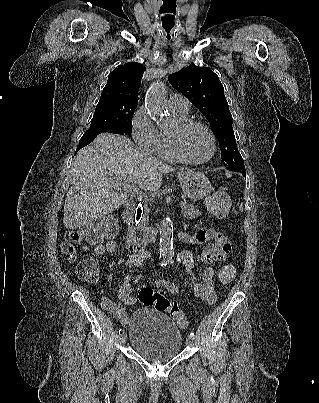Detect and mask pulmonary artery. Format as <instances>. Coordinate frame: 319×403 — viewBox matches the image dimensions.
I'll use <instances>...</instances> for the list:
<instances>
[{"mask_svg": "<svg viewBox=\"0 0 319 403\" xmlns=\"http://www.w3.org/2000/svg\"><path fill=\"white\" fill-rule=\"evenodd\" d=\"M168 107L170 110H175L181 113H188L190 109V103L186 97L178 94H173L169 99Z\"/></svg>", "mask_w": 319, "mask_h": 403, "instance_id": "pulmonary-artery-1", "label": "pulmonary artery"}]
</instances>
